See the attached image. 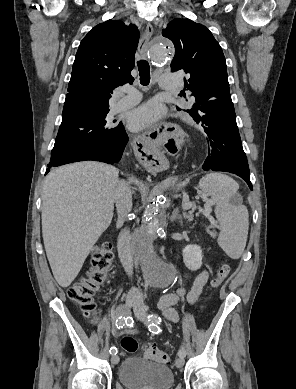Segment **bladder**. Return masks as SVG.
<instances>
[{
    "label": "bladder",
    "instance_id": "1",
    "mask_svg": "<svg viewBox=\"0 0 296 389\" xmlns=\"http://www.w3.org/2000/svg\"><path fill=\"white\" fill-rule=\"evenodd\" d=\"M117 374L128 389H170L174 384V375L168 366L137 357L125 358Z\"/></svg>",
    "mask_w": 296,
    "mask_h": 389
}]
</instances>
